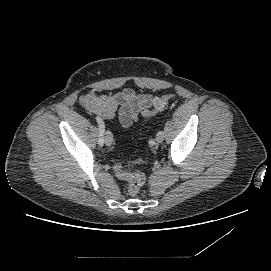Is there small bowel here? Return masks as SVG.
Returning a JSON list of instances; mask_svg holds the SVG:
<instances>
[{
  "label": "small bowel",
  "instance_id": "obj_1",
  "mask_svg": "<svg viewBox=\"0 0 271 271\" xmlns=\"http://www.w3.org/2000/svg\"><path fill=\"white\" fill-rule=\"evenodd\" d=\"M152 96L126 89L112 95H97L93 92L80 97L81 105L91 113L100 115L106 120L117 117L122 127H129L149 110Z\"/></svg>",
  "mask_w": 271,
  "mask_h": 271
}]
</instances>
